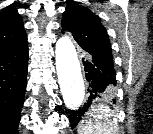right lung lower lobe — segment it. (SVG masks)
Here are the masks:
<instances>
[{"instance_id": "obj_1", "label": "right lung lower lobe", "mask_w": 153, "mask_h": 134, "mask_svg": "<svg viewBox=\"0 0 153 134\" xmlns=\"http://www.w3.org/2000/svg\"><path fill=\"white\" fill-rule=\"evenodd\" d=\"M27 68V41L0 55V134H18Z\"/></svg>"}]
</instances>
